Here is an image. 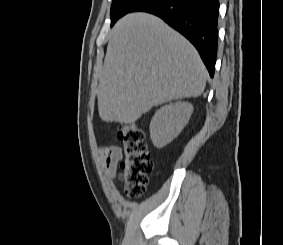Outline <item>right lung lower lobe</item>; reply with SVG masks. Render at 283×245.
I'll list each match as a JSON object with an SVG mask.
<instances>
[{
    "instance_id": "98d812e1",
    "label": "right lung lower lobe",
    "mask_w": 283,
    "mask_h": 245,
    "mask_svg": "<svg viewBox=\"0 0 283 245\" xmlns=\"http://www.w3.org/2000/svg\"><path fill=\"white\" fill-rule=\"evenodd\" d=\"M135 11L155 14L183 34L196 47L213 77L219 0H144L130 12Z\"/></svg>"
}]
</instances>
